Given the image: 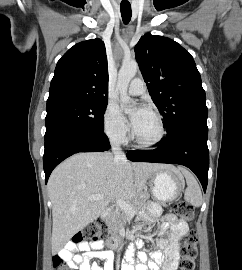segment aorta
<instances>
[{
  "instance_id": "1",
  "label": "aorta",
  "mask_w": 242,
  "mask_h": 270,
  "mask_svg": "<svg viewBox=\"0 0 242 270\" xmlns=\"http://www.w3.org/2000/svg\"><path fill=\"white\" fill-rule=\"evenodd\" d=\"M138 70V63L136 61L124 62L119 73L117 81V89L120 93V101L122 104L128 106L131 102V99L127 93L128 86L130 81L136 75ZM131 109H128L130 112Z\"/></svg>"
}]
</instances>
